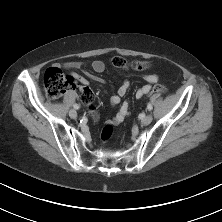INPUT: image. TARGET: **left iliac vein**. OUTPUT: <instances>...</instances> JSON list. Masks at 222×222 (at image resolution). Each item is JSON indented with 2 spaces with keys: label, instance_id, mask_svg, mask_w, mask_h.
<instances>
[{
  "label": "left iliac vein",
  "instance_id": "left-iliac-vein-1",
  "mask_svg": "<svg viewBox=\"0 0 222 222\" xmlns=\"http://www.w3.org/2000/svg\"><path fill=\"white\" fill-rule=\"evenodd\" d=\"M152 119H153L152 115L148 114L142 119L141 123H142V125H149L151 123Z\"/></svg>",
  "mask_w": 222,
  "mask_h": 222
}]
</instances>
